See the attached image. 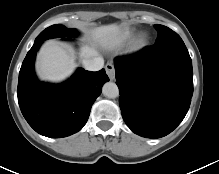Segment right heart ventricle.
I'll list each match as a JSON object with an SVG mask.
<instances>
[{
    "label": "right heart ventricle",
    "mask_w": 219,
    "mask_h": 174,
    "mask_svg": "<svg viewBox=\"0 0 219 174\" xmlns=\"http://www.w3.org/2000/svg\"><path fill=\"white\" fill-rule=\"evenodd\" d=\"M134 35V30L124 29L120 31L114 38L115 44H123L128 42Z\"/></svg>",
    "instance_id": "1"
}]
</instances>
